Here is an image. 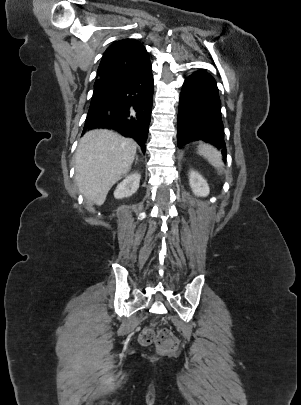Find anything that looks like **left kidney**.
<instances>
[{
	"label": "left kidney",
	"instance_id": "1",
	"mask_svg": "<svg viewBox=\"0 0 301 405\" xmlns=\"http://www.w3.org/2000/svg\"><path fill=\"white\" fill-rule=\"evenodd\" d=\"M189 184L195 195L200 197H206L209 195V186L206 180L198 172L193 170L190 171Z\"/></svg>",
	"mask_w": 301,
	"mask_h": 405
}]
</instances>
